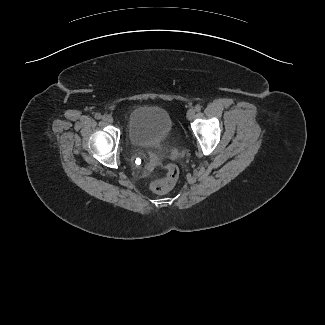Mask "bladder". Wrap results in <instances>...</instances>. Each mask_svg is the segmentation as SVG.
Here are the masks:
<instances>
[{"label":"bladder","instance_id":"bladder-1","mask_svg":"<svg viewBox=\"0 0 325 325\" xmlns=\"http://www.w3.org/2000/svg\"><path fill=\"white\" fill-rule=\"evenodd\" d=\"M174 137L171 115L161 107L139 106L128 117L127 138L132 146H154Z\"/></svg>","mask_w":325,"mask_h":325}]
</instances>
